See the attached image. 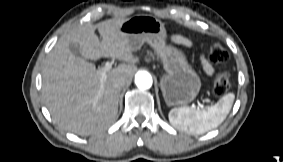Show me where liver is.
<instances>
[{
  "label": "liver",
  "instance_id": "liver-1",
  "mask_svg": "<svg viewBox=\"0 0 283 162\" xmlns=\"http://www.w3.org/2000/svg\"><path fill=\"white\" fill-rule=\"evenodd\" d=\"M126 19H109L96 25L78 26L59 38L42 66V95L53 121L62 129L90 135L110 127L118 114L122 87L132 81L139 57L124 34L118 31ZM98 30L102 41L95 35ZM75 43L83 58L101 57L122 61L102 81L93 63L75 57L69 45Z\"/></svg>",
  "mask_w": 283,
  "mask_h": 162
}]
</instances>
